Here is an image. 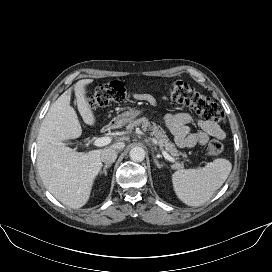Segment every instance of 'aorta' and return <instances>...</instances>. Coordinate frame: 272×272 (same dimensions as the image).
Here are the masks:
<instances>
[{"mask_svg": "<svg viewBox=\"0 0 272 272\" xmlns=\"http://www.w3.org/2000/svg\"><path fill=\"white\" fill-rule=\"evenodd\" d=\"M130 158L134 162H142L145 158V151L142 147H134L130 150Z\"/></svg>", "mask_w": 272, "mask_h": 272, "instance_id": "obj_1", "label": "aorta"}]
</instances>
